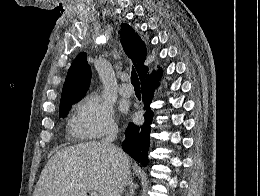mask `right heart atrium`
<instances>
[{
    "mask_svg": "<svg viewBox=\"0 0 260 196\" xmlns=\"http://www.w3.org/2000/svg\"><path fill=\"white\" fill-rule=\"evenodd\" d=\"M116 128L111 106L96 92L87 94L77 103L70 121V130L79 143H107L98 138Z\"/></svg>",
    "mask_w": 260,
    "mask_h": 196,
    "instance_id": "d8ad5b80",
    "label": "right heart atrium"
}]
</instances>
